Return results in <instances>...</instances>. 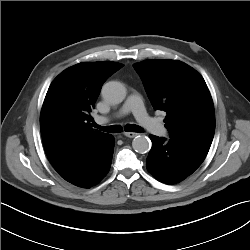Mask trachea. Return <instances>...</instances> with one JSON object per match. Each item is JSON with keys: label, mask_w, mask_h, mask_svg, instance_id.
<instances>
[{"label": "trachea", "mask_w": 250, "mask_h": 250, "mask_svg": "<svg viewBox=\"0 0 250 250\" xmlns=\"http://www.w3.org/2000/svg\"><path fill=\"white\" fill-rule=\"evenodd\" d=\"M94 127L100 129L101 131L108 132V133H120L122 132V127L120 125H111V126H99L97 124H94ZM125 131L127 132H142L143 129L135 124H127L125 126Z\"/></svg>", "instance_id": "obj_1"}]
</instances>
